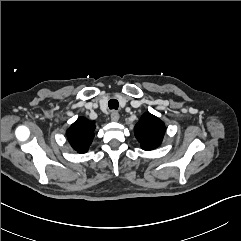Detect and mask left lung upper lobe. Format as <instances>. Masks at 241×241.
Here are the masks:
<instances>
[{"instance_id":"5c2ea615","label":"left lung upper lobe","mask_w":241,"mask_h":241,"mask_svg":"<svg viewBox=\"0 0 241 241\" xmlns=\"http://www.w3.org/2000/svg\"><path fill=\"white\" fill-rule=\"evenodd\" d=\"M134 134L142 149L150 151L161 144L165 134V125L158 117L145 113L136 124Z\"/></svg>"}]
</instances>
